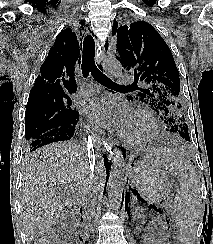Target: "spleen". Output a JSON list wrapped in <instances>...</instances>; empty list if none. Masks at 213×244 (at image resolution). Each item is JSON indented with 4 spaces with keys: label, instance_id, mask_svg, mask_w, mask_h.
Here are the masks:
<instances>
[{
    "label": "spleen",
    "instance_id": "3e777b00",
    "mask_svg": "<svg viewBox=\"0 0 213 244\" xmlns=\"http://www.w3.org/2000/svg\"><path fill=\"white\" fill-rule=\"evenodd\" d=\"M162 167L178 176L179 188L174 197L177 233L183 244H194L196 231L202 220V200L197 176L191 165L176 154L160 150Z\"/></svg>",
    "mask_w": 213,
    "mask_h": 244
}]
</instances>
